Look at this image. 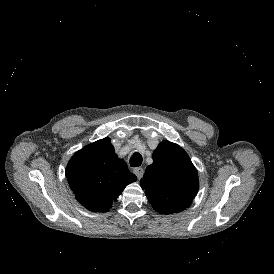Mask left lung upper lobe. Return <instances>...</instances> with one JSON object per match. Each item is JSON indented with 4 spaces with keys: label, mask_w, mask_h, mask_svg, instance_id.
Segmentation results:
<instances>
[{
    "label": "left lung upper lobe",
    "mask_w": 274,
    "mask_h": 274,
    "mask_svg": "<svg viewBox=\"0 0 274 274\" xmlns=\"http://www.w3.org/2000/svg\"><path fill=\"white\" fill-rule=\"evenodd\" d=\"M153 163L140 181L142 189L160 213H178L189 207L198 192V174L187 153L177 144L161 142Z\"/></svg>",
    "instance_id": "obj_1"
}]
</instances>
